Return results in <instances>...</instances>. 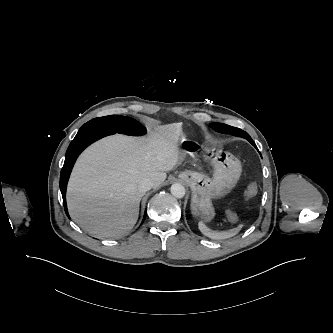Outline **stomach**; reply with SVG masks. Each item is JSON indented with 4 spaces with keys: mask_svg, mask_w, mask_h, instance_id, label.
<instances>
[{
    "mask_svg": "<svg viewBox=\"0 0 333 333\" xmlns=\"http://www.w3.org/2000/svg\"><path fill=\"white\" fill-rule=\"evenodd\" d=\"M195 157H201L213 168L212 176L195 170L180 172L179 178L186 182L192 191V214L206 222L215 216L212 198L226 195L240 178L241 162L232 153L223 150L197 148Z\"/></svg>",
    "mask_w": 333,
    "mask_h": 333,
    "instance_id": "stomach-1",
    "label": "stomach"
}]
</instances>
